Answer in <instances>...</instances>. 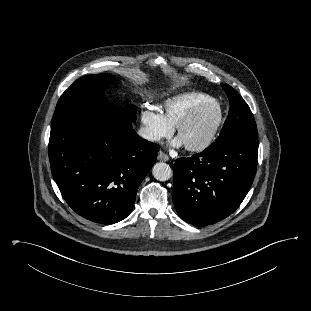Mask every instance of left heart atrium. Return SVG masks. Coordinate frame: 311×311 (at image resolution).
Here are the masks:
<instances>
[{
  "mask_svg": "<svg viewBox=\"0 0 311 311\" xmlns=\"http://www.w3.org/2000/svg\"><path fill=\"white\" fill-rule=\"evenodd\" d=\"M172 145L175 146V147H179V146H182L183 145V142L181 141L180 138H176L172 141Z\"/></svg>",
  "mask_w": 311,
  "mask_h": 311,
  "instance_id": "obj_1",
  "label": "left heart atrium"
}]
</instances>
